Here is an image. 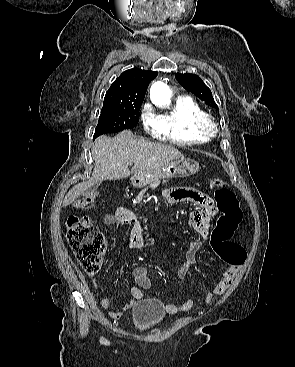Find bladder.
I'll use <instances>...</instances> for the list:
<instances>
[{"label": "bladder", "mask_w": 295, "mask_h": 367, "mask_svg": "<svg viewBox=\"0 0 295 367\" xmlns=\"http://www.w3.org/2000/svg\"><path fill=\"white\" fill-rule=\"evenodd\" d=\"M166 315L161 300L150 298L140 301L132 311V321L135 330L146 332L161 323Z\"/></svg>", "instance_id": "bladder-1"}]
</instances>
